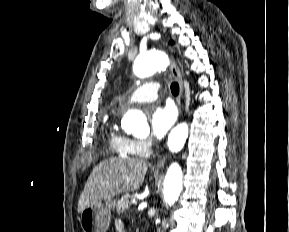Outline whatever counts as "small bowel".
I'll list each match as a JSON object with an SVG mask.
<instances>
[{"label": "small bowel", "mask_w": 289, "mask_h": 232, "mask_svg": "<svg viewBox=\"0 0 289 232\" xmlns=\"http://www.w3.org/2000/svg\"><path fill=\"white\" fill-rule=\"evenodd\" d=\"M114 226L116 232H124V224L121 220H116Z\"/></svg>", "instance_id": "obj_1"}]
</instances>
